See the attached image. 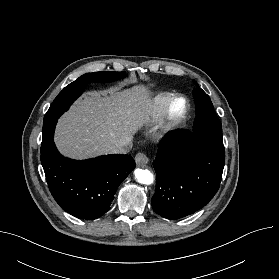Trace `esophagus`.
I'll return each instance as SVG.
<instances>
[{
	"label": "esophagus",
	"mask_w": 279,
	"mask_h": 279,
	"mask_svg": "<svg viewBox=\"0 0 279 279\" xmlns=\"http://www.w3.org/2000/svg\"><path fill=\"white\" fill-rule=\"evenodd\" d=\"M135 162L138 166H140L143 164H147L149 162V158L147 157V155L145 153L139 152L135 156Z\"/></svg>",
	"instance_id": "1"
}]
</instances>
